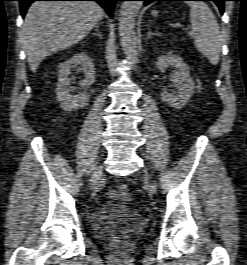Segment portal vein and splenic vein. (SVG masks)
Here are the masks:
<instances>
[{
    "label": "portal vein and splenic vein",
    "mask_w": 247,
    "mask_h": 265,
    "mask_svg": "<svg viewBox=\"0 0 247 265\" xmlns=\"http://www.w3.org/2000/svg\"><path fill=\"white\" fill-rule=\"evenodd\" d=\"M174 27L181 28V27H182V25H181V24H179V23H176V24L174 25Z\"/></svg>",
    "instance_id": "portal-vein-and-splenic-vein-1"
}]
</instances>
